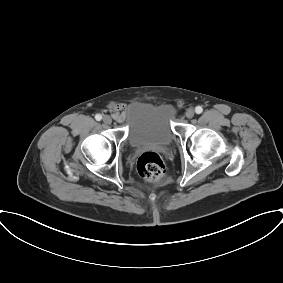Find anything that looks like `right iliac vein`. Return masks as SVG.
<instances>
[{
  "mask_svg": "<svg viewBox=\"0 0 283 283\" xmlns=\"http://www.w3.org/2000/svg\"><path fill=\"white\" fill-rule=\"evenodd\" d=\"M103 122H104L105 124H111V123H112V118H111L109 115H105V116L103 117Z\"/></svg>",
  "mask_w": 283,
  "mask_h": 283,
  "instance_id": "obj_1",
  "label": "right iliac vein"
}]
</instances>
